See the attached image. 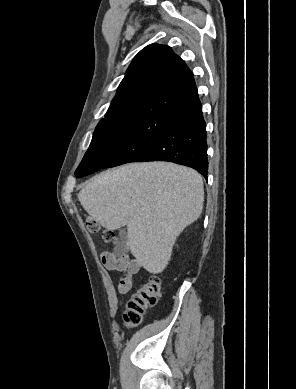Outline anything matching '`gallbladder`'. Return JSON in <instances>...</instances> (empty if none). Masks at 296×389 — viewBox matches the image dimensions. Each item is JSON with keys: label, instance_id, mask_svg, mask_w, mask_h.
I'll return each instance as SVG.
<instances>
[{"label": "gallbladder", "instance_id": "bac80fb5", "mask_svg": "<svg viewBox=\"0 0 296 389\" xmlns=\"http://www.w3.org/2000/svg\"><path fill=\"white\" fill-rule=\"evenodd\" d=\"M128 235L125 229H121L119 232V241L117 242L114 252L117 256H122L127 252Z\"/></svg>", "mask_w": 296, "mask_h": 389}]
</instances>
